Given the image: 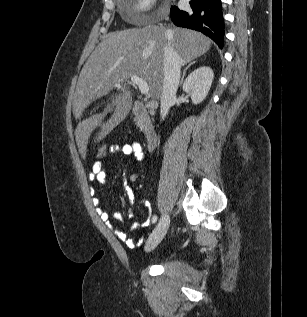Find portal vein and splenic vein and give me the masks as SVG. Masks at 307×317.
I'll list each match as a JSON object with an SVG mask.
<instances>
[{
    "label": "portal vein and splenic vein",
    "mask_w": 307,
    "mask_h": 317,
    "mask_svg": "<svg viewBox=\"0 0 307 317\" xmlns=\"http://www.w3.org/2000/svg\"><path fill=\"white\" fill-rule=\"evenodd\" d=\"M130 80H131L132 83H134V84H136L138 86L141 94L148 95L149 86H148L147 82L144 79H142V78H140L138 76H131ZM115 87L120 88L121 87L120 83L116 84Z\"/></svg>",
    "instance_id": "portal-vein-and-splenic-vein-1"
}]
</instances>
